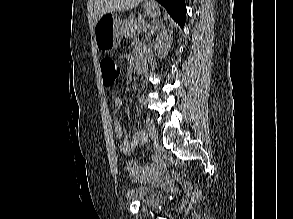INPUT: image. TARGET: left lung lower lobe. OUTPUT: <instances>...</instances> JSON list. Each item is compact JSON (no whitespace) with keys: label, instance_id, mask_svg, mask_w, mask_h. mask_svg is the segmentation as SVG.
<instances>
[{"label":"left lung lower lobe","instance_id":"1","mask_svg":"<svg viewBox=\"0 0 293 219\" xmlns=\"http://www.w3.org/2000/svg\"><path fill=\"white\" fill-rule=\"evenodd\" d=\"M163 5L169 15L183 28L186 20V5L184 0H156Z\"/></svg>","mask_w":293,"mask_h":219}]
</instances>
